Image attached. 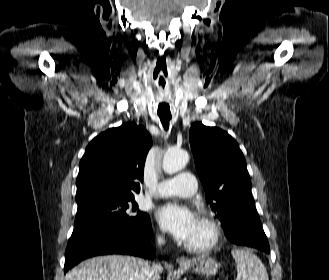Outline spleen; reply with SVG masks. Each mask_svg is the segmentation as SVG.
Returning a JSON list of instances; mask_svg holds the SVG:
<instances>
[{"label": "spleen", "mask_w": 329, "mask_h": 280, "mask_svg": "<svg viewBox=\"0 0 329 280\" xmlns=\"http://www.w3.org/2000/svg\"><path fill=\"white\" fill-rule=\"evenodd\" d=\"M231 254L237 268L236 280H269L261 260L244 249H233Z\"/></svg>", "instance_id": "1"}]
</instances>
